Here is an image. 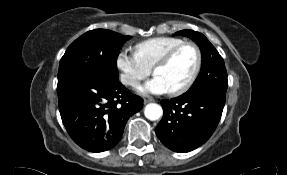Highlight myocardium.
<instances>
[{"instance_id": "myocardium-1", "label": "myocardium", "mask_w": 287, "mask_h": 175, "mask_svg": "<svg viewBox=\"0 0 287 175\" xmlns=\"http://www.w3.org/2000/svg\"><path fill=\"white\" fill-rule=\"evenodd\" d=\"M186 46H191L195 49L196 54H197V62H196V66L195 69L191 75V77L188 79V81L182 85L181 87L175 89V90H171L169 91V93L173 96H179L184 94L185 92H187L197 81L199 74L201 72L202 69V64H203V55H202V51L200 49V47L193 41H184L176 46H174L173 48H171L168 52H166L162 57H160L156 63L153 65L152 67V72L153 74H155V71L161 67L164 66L166 64H168L173 57L184 47Z\"/></svg>"}]
</instances>
